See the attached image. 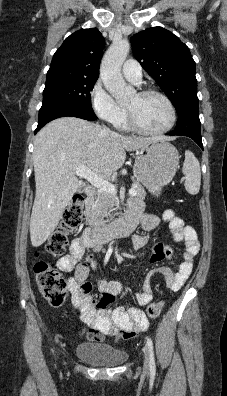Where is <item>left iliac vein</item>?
Segmentation results:
<instances>
[{
	"label": "left iliac vein",
	"mask_w": 227,
	"mask_h": 396,
	"mask_svg": "<svg viewBox=\"0 0 227 396\" xmlns=\"http://www.w3.org/2000/svg\"><path fill=\"white\" fill-rule=\"evenodd\" d=\"M143 351H144V371L148 372L150 366V354L146 346L144 347Z\"/></svg>",
	"instance_id": "left-iliac-vein-1"
}]
</instances>
